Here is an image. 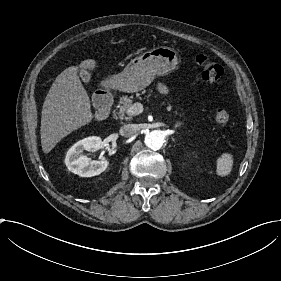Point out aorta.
<instances>
[{"label": "aorta", "instance_id": "1", "mask_svg": "<svg viewBox=\"0 0 281 281\" xmlns=\"http://www.w3.org/2000/svg\"><path fill=\"white\" fill-rule=\"evenodd\" d=\"M165 142V133L161 130H153L145 136V144L152 150H159Z\"/></svg>", "mask_w": 281, "mask_h": 281}]
</instances>
